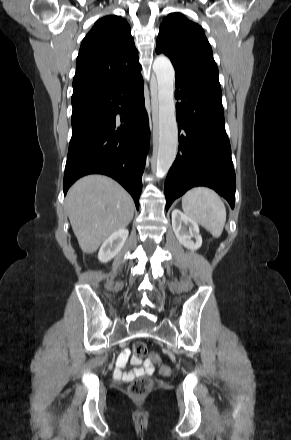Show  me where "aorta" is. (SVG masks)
Here are the masks:
<instances>
[{"label": "aorta", "mask_w": 291, "mask_h": 440, "mask_svg": "<svg viewBox=\"0 0 291 440\" xmlns=\"http://www.w3.org/2000/svg\"><path fill=\"white\" fill-rule=\"evenodd\" d=\"M153 70L158 83L157 121L159 139L156 155V174L158 177H163L172 166L178 147V127L174 103L175 71L170 60L164 55L155 58Z\"/></svg>", "instance_id": "1"}]
</instances>
